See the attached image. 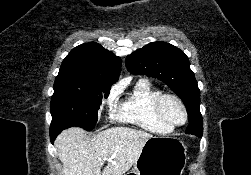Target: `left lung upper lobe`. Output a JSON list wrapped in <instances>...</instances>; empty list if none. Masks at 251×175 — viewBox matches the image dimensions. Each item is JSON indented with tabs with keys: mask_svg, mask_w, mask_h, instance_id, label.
<instances>
[{
	"mask_svg": "<svg viewBox=\"0 0 251 175\" xmlns=\"http://www.w3.org/2000/svg\"><path fill=\"white\" fill-rule=\"evenodd\" d=\"M125 64L130 73L151 76L167 84L182 99L187 111L196 112L185 132L202 137L200 90L188 57L180 49L166 42H153L127 56Z\"/></svg>",
	"mask_w": 251,
	"mask_h": 175,
	"instance_id": "left-lung-upper-lobe-1",
	"label": "left lung upper lobe"
}]
</instances>
